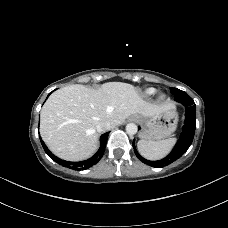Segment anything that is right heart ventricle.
Masks as SVG:
<instances>
[{
    "mask_svg": "<svg viewBox=\"0 0 228 228\" xmlns=\"http://www.w3.org/2000/svg\"><path fill=\"white\" fill-rule=\"evenodd\" d=\"M154 93H155V89H154V88H148V89L145 90L144 95H145L146 97H150V96H152Z\"/></svg>",
    "mask_w": 228,
    "mask_h": 228,
    "instance_id": "right-heart-ventricle-1",
    "label": "right heart ventricle"
}]
</instances>
